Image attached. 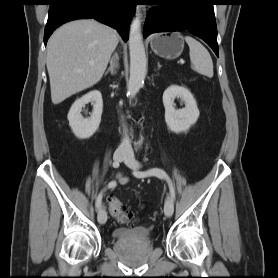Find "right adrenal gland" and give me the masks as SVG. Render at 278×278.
<instances>
[{
	"mask_svg": "<svg viewBox=\"0 0 278 278\" xmlns=\"http://www.w3.org/2000/svg\"><path fill=\"white\" fill-rule=\"evenodd\" d=\"M118 60H119L118 54L114 53V55L110 59V67L105 72V75H107L109 72L111 73V75L116 74L117 69L119 68Z\"/></svg>",
	"mask_w": 278,
	"mask_h": 278,
	"instance_id": "right-adrenal-gland-1",
	"label": "right adrenal gland"
}]
</instances>
